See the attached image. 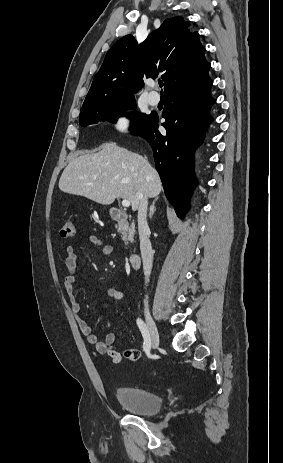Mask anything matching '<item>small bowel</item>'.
<instances>
[{
	"label": "small bowel",
	"mask_w": 283,
	"mask_h": 463,
	"mask_svg": "<svg viewBox=\"0 0 283 463\" xmlns=\"http://www.w3.org/2000/svg\"><path fill=\"white\" fill-rule=\"evenodd\" d=\"M89 241L94 246L100 248L103 256H109L112 253V246L106 244L100 237L91 235ZM79 262V257L72 245L66 247V259L65 265L67 267V274L64 280V289L69 297L70 306L72 312L76 315V320L81 332L86 336L87 342L94 346L95 350L99 354H106L110 357L112 363H119L123 357L128 361H137L140 357V353L137 349L129 348L123 353H120L115 348L117 334L113 331L107 333L104 340H99L97 335L92 332V328L89 323L81 318L78 314L81 310V304L74 295V282H75V271ZM106 294L111 297L113 301L120 302L124 299L125 294L123 291L108 288ZM107 304L104 303L100 306L101 309H105ZM108 326H111V322H108Z\"/></svg>",
	"instance_id": "c3829d8e"
}]
</instances>
